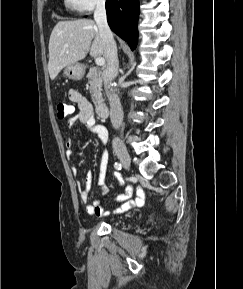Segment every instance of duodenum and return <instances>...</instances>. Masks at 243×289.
Listing matches in <instances>:
<instances>
[{
  "label": "duodenum",
  "mask_w": 243,
  "mask_h": 289,
  "mask_svg": "<svg viewBox=\"0 0 243 289\" xmlns=\"http://www.w3.org/2000/svg\"><path fill=\"white\" fill-rule=\"evenodd\" d=\"M96 113L100 118H106L108 116V107L103 100L96 101Z\"/></svg>",
  "instance_id": "duodenum-1"
}]
</instances>
